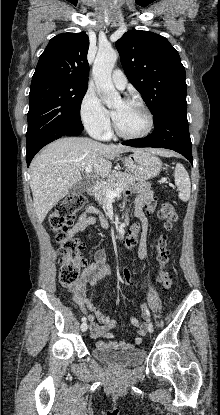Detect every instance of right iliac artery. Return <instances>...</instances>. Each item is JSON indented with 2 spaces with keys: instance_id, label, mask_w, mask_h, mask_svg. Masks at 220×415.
I'll use <instances>...</instances> for the list:
<instances>
[{
  "instance_id": "right-iliac-artery-1",
  "label": "right iliac artery",
  "mask_w": 220,
  "mask_h": 415,
  "mask_svg": "<svg viewBox=\"0 0 220 415\" xmlns=\"http://www.w3.org/2000/svg\"><path fill=\"white\" fill-rule=\"evenodd\" d=\"M81 321L82 322H85L86 321V317H82Z\"/></svg>"
}]
</instances>
